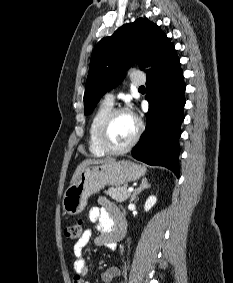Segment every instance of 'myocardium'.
Segmentation results:
<instances>
[{"label":"myocardium","instance_id":"1","mask_svg":"<svg viewBox=\"0 0 233 283\" xmlns=\"http://www.w3.org/2000/svg\"><path fill=\"white\" fill-rule=\"evenodd\" d=\"M121 113H131L127 108L125 107H118L113 108L104 118L102 121L97 135V140L100 148L106 153V154H112V155H118L128 152L138 141L140 134H141V122L135 118L136 121V130L132 137V139L126 144L125 146L121 148H114L110 146L107 140L108 131L110 128V125L112 121L115 119V117Z\"/></svg>","mask_w":233,"mask_h":283}]
</instances>
